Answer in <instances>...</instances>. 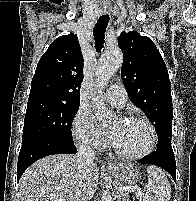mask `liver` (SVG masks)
<instances>
[{
    "mask_svg": "<svg viewBox=\"0 0 196 201\" xmlns=\"http://www.w3.org/2000/svg\"><path fill=\"white\" fill-rule=\"evenodd\" d=\"M121 164H111V171ZM99 169L70 154L50 155L33 163L19 181L20 201H89L98 188Z\"/></svg>",
    "mask_w": 196,
    "mask_h": 201,
    "instance_id": "liver-1",
    "label": "liver"
}]
</instances>
